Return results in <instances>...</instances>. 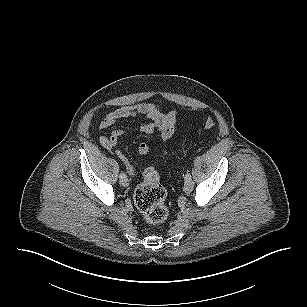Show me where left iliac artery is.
<instances>
[{"mask_svg": "<svg viewBox=\"0 0 307 307\" xmlns=\"http://www.w3.org/2000/svg\"><path fill=\"white\" fill-rule=\"evenodd\" d=\"M185 179H191V175L187 173V174L185 175Z\"/></svg>", "mask_w": 307, "mask_h": 307, "instance_id": "44dca946", "label": "left iliac artery"}]
</instances>
